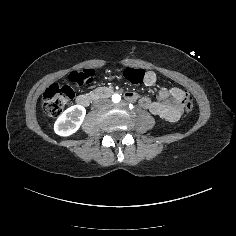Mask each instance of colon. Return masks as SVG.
Here are the masks:
<instances>
[{"instance_id": "5ec220e1", "label": "colon", "mask_w": 236, "mask_h": 236, "mask_svg": "<svg viewBox=\"0 0 236 236\" xmlns=\"http://www.w3.org/2000/svg\"><path fill=\"white\" fill-rule=\"evenodd\" d=\"M124 74L125 78L132 84H141L149 77L145 70L139 68H127ZM93 76L94 71L92 69L73 71L69 75L70 84L62 86L51 85L45 91L43 97V107L46 113L50 116H58L74 98V87L89 84ZM152 79L155 81L154 76H152ZM181 101L186 113L191 112L193 108L192 97L184 93Z\"/></svg>"}]
</instances>
